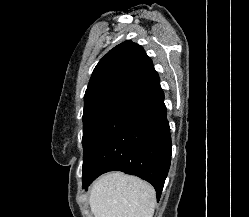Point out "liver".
<instances>
[{
	"instance_id": "obj_1",
	"label": "liver",
	"mask_w": 249,
	"mask_h": 217,
	"mask_svg": "<svg viewBox=\"0 0 249 217\" xmlns=\"http://www.w3.org/2000/svg\"><path fill=\"white\" fill-rule=\"evenodd\" d=\"M154 188L135 176L108 173L94 182L90 209L94 217H153Z\"/></svg>"
}]
</instances>
